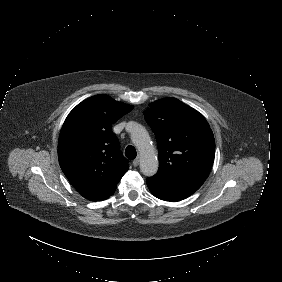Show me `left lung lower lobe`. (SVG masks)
Masks as SVG:
<instances>
[{"mask_svg":"<svg viewBox=\"0 0 282 282\" xmlns=\"http://www.w3.org/2000/svg\"><path fill=\"white\" fill-rule=\"evenodd\" d=\"M146 182L151 193L157 198L165 201H180L197 191L204 181L156 174L148 177Z\"/></svg>","mask_w":282,"mask_h":282,"instance_id":"0a47b994","label":"left lung lower lobe"}]
</instances>
